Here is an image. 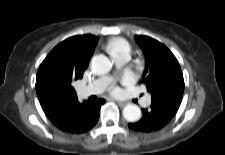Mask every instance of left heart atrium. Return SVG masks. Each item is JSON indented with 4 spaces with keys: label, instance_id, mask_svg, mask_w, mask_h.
<instances>
[{
    "label": "left heart atrium",
    "instance_id": "left-heart-atrium-1",
    "mask_svg": "<svg viewBox=\"0 0 225 155\" xmlns=\"http://www.w3.org/2000/svg\"><path fill=\"white\" fill-rule=\"evenodd\" d=\"M124 81L125 82H127L128 81V79L126 78V79H124ZM119 91V89L118 88H114V92H118Z\"/></svg>",
    "mask_w": 225,
    "mask_h": 155
}]
</instances>
